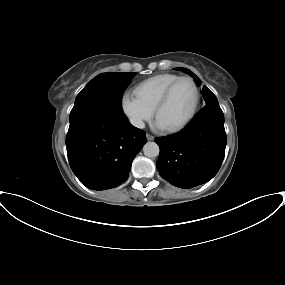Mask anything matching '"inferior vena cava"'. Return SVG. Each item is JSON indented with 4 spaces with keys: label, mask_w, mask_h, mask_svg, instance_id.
Returning <instances> with one entry per match:
<instances>
[{
    "label": "inferior vena cava",
    "mask_w": 285,
    "mask_h": 285,
    "mask_svg": "<svg viewBox=\"0 0 285 285\" xmlns=\"http://www.w3.org/2000/svg\"><path fill=\"white\" fill-rule=\"evenodd\" d=\"M131 124L137 128H144L145 124L141 119L133 118L130 120Z\"/></svg>",
    "instance_id": "1"
}]
</instances>
